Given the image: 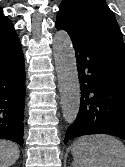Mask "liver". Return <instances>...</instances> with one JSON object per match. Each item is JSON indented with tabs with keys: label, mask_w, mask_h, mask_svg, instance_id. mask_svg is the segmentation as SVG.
<instances>
[{
	"label": "liver",
	"mask_w": 125,
	"mask_h": 167,
	"mask_svg": "<svg viewBox=\"0 0 125 167\" xmlns=\"http://www.w3.org/2000/svg\"><path fill=\"white\" fill-rule=\"evenodd\" d=\"M20 151L17 144L0 139V167H9L19 158Z\"/></svg>",
	"instance_id": "obj_1"
}]
</instances>
